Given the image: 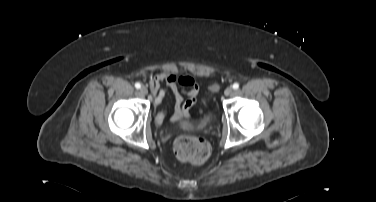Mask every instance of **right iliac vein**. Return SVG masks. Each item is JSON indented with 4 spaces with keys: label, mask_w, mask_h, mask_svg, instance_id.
Masks as SVG:
<instances>
[{
    "label": "right iliac vein",
    "mask_w": 376,
    "mask_h": 202,
    "mask_svg": "<svg viewBox=\"0 0 376 202\" xmlns=\"http://www.w3.org/2000/svg\"><path fill=\"white\" fill-rule=\"evenodd\" d=\"M139 91H140V94L143 96L147 95L148 93V90L145 86H142Z\"/></svg>",
    "instance_id": "1"
}]
</instances>
